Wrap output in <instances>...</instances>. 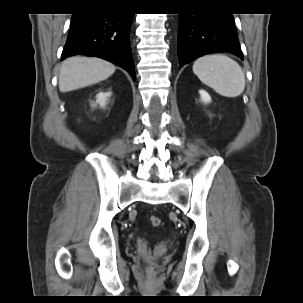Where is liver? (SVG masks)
<instances>
[{
	"mask_svg": "<svg viewBox=\"0 0 303 303\" xmlns=\"http://www.w3.org/2000/svg\"><path fill=\"white\" fill-rule=\"evenodd\" d=\"M115 66L103 59L70 57L63 61L59 75V90L69 92L107 79Z\"/></svg>",
	"mask_w": 303,
	"mask_h": 303,
	"instance_id": "liver-1",
	"label": "liver"
}]
</instances>
